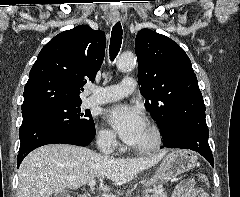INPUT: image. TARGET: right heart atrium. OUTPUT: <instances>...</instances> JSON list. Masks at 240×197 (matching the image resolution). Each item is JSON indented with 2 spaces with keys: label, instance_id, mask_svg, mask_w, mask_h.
I'll use <instances>...</instances> for the list:
<instances>
[{
  "label": "right heart atrium",
  "instance_id": "obj_1",
  "mask_svg": "<svg viewBox=\"0 0 240 197\" xmlns=\"http://www.w3.org/2000/svg\"><path fill=\"white\" fill-rule=\"evenodd\" d=\"M97 140L102 148L109 151H113L118 145L115 133L106 128L100 130Z\"/></svg>",
  "mask_w": 240,
  "mask_h": 197
}]
</instances>
